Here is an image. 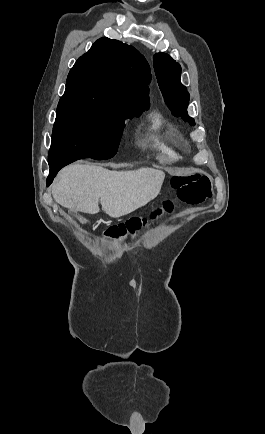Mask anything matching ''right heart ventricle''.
<instances>
[{
  "label": "right heart ventricle",
  "instance_id": "right-heart-ventricle-1",
  "mask_svg": "<svg viewBox=\"0 0 265 434\" xmlns=\"http://www.w3.org/2000/svg\"><path fill=\"white\" fill-rule=\"evenodd\" d=\"M148 123V131L151 135L160 137L168 142L176 152L183 150L182 141L174 135L166 132V120L159 110H151L145 114Z\"/></svg>",
  "mask_w": 265,
  "mask_h": 434
}]
</instances>
